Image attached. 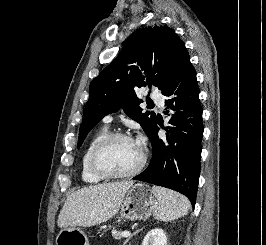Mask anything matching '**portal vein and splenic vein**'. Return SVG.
<instances>
[{
  "instance_id": "1",
  "label": "portal vein and splenic vein",
  "mask_w": 266,
  "mask_h": 245,
  "mask_svg": "<svg viewBox=\"0 0 266 245\" xmlns=\"http://www.w3.org/2000/svg\"><path fill=\"white\" fill-rule=\"evenodd\" d=\"M130 235V231H123V233H121V237H130Z\"/></svg>"
}]
</instances>
